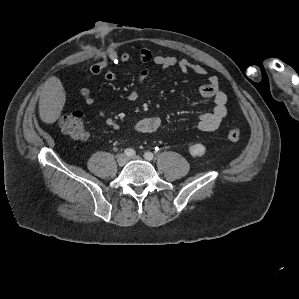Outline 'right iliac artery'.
Listing matches in <instances>:
<instances>
[{
	"instance_id": "obj_1",
	"label": "right iliac artery",
	"mask_w": 299,
	"mask_h": 299,
	"mask_svg": "<svg viewBox=\"0 0 299 299\" xmlns=\"http://www.w3.org/2000/svg\"><path fill=\"white\" fill-rule=\"evenodd\" d=\"M124 153L129 157H133L136 154L135 150L132 148H127Z\"/></svg>"
}]
</instances>
